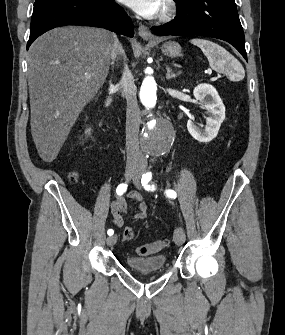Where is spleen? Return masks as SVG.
<instances>
[{
	"mask_svg": "<svg viewBox=\"0 0 285 335\" xmlns=\"http://www.w3.org/2000/svg\"><path fill=\"white\" fill-rule=\"evenodd\" d=\"M190 44L198 46L202 50L203 54L207 56L208 62L215 70V68H220V66H226L227 62H230V54L218 46V44H213V42H208V40H190Z\"/></svg>",
	"mask_w": 285,
	"mask_h": 335,
	"instance_id": "obj_1",
	"label": "spleen"
}]
</instances>
